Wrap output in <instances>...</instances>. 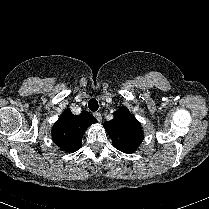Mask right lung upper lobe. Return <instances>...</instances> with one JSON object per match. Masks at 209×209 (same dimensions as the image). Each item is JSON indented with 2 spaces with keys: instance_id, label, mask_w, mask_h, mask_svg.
I'll use <instances>...</instances> for the list:
<instances>
[{
  "instance_id": "obj_1",
  "label": "right lung upper lobe",
  "mask_w": 209,
  "mask_h": 209,
  "mask_svg": "<svg viewBox=\"0 0 209 209\" xmlns=\"http://www.w3.org/2000/svg\"><path fill=\"white\" fill-rule=\"evenodd\" d=\"M96 122V118L88 112L73 115L69 109H66L54 124L53 141L63 151L75 152L81 147L82 137L87 127Z\"/></svg>"
}]
</instances>
